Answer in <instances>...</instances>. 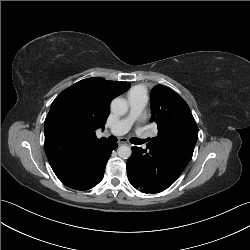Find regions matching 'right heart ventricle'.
<instances>
[{
	"instance_id": "1",
	"label": "right heart ventricle",
	"mask_w": 250,
	"mask_h": 250,
	"mask_svg": "<svg viewBox=\"0 0 250 250\" xmlns=\"http://www.w3.org/2000/svg\"><path fill=\"white\" fill-rule=\"evenodd\" d=\"M130 93H142L146 95V90L143 86H136L130 91Z\"/></svg>"
}]
</instances>
